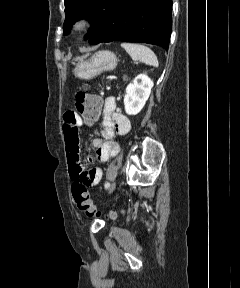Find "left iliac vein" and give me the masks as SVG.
<instances>
[{
  "mask_svg": "<svg viewBox=\"0 0 240 288\" xmlns=\"http://www.w3.org/2000/svg\"><path fill=\"white\" fill-rule=\"evenodd\" d=\"M115 187H116V183L113 182V183L109 186V194H111V193L114 191Z\"/></svg>",
  "mask_w": 240,
  "mask_h": 288,
  "instance_id": "obj_1",
  "label": "left iliac vein"
}]
</instances>
